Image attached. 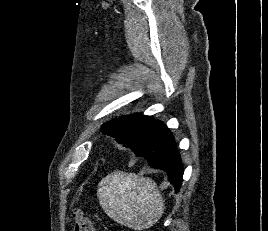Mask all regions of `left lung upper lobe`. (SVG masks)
<instances>
[{"instance_id":"1","label":"left lung upper lobe","mask_w":268,"mask_h":231,"mask_svg":"<svg viewBox=\"0 0 268 231\" xmlns=\"http://www.w3.org/2000/svg\"><path fill=\"white\" fill-rule=\"evenodd\" d=\"M152 117L142 114H133L120 117L105 123L101 131L104 134L115 137L125 147L141 144L151 138L162 126Z\"/></svg>"}]
</instances>
